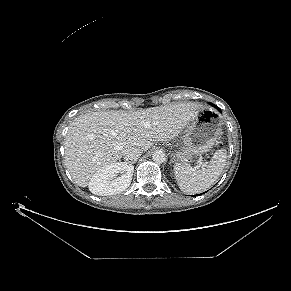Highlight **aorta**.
Masks as SVG:
<instances>
[{
    "mask_svg": "<svg viewBox=\"0 0 291 291\" xmlns=\"http://www.w3.org/2000/svg\"><path fill=\"white\" fill-rule=\"evenodd\" d=\"M152 159L155 163L161 164L163 162H165L166 160V155L163 151L159 150V151H155L152 154Z\"/></svg>",
    "mask_w": 291,
    "mask_h": 291,
    "instance_id": "aorta-1",
    "label": "aorta"
}]
</instances>
